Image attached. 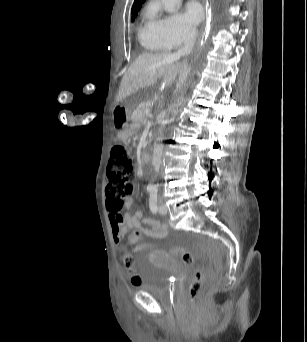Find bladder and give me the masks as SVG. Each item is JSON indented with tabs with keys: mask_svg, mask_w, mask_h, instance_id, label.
I'll list each match as a JSON object with an SVG mask.
<instances>
[{
	"mask_svg": "<svg viewBox=\"0 0 307 342\" xmlns=\"http://www.w3.org/2000/svg\"><path fill=\"white\" fill-rule=\"evenodd\" d=\"M171 277L172 275L167 268L153 265L142 274L141 281L137 286L140 290L157 298L169 299L172 286H174Z\"/></svg>",
	"mask_w": 307,
	"mask_h": 342,
	"instance_id": "obj_1",
	"label": "bladder"
}]
</instances>
